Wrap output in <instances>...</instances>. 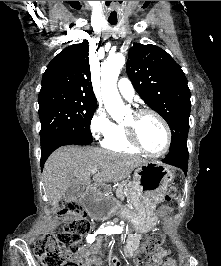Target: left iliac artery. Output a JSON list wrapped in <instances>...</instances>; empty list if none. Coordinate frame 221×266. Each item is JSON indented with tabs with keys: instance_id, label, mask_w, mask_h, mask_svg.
<instances>
[{
	"instance_id": "left-iliac-artery-1",
	"label": "left iliac artery",
	"mask_w": 221,
	"mask_h": 266,
	"mask_svg": "<svg viewBox=\"0 0 221 266\" xmlns=\"http://www.w3.org/2000/svg\"><path fill=\"white\" fill-rule=\"evenodd\" d=\"M106 234H109V235H110V234H115V233H114V232H108V233H106Z\"/></svg>"
}]
</instances>
